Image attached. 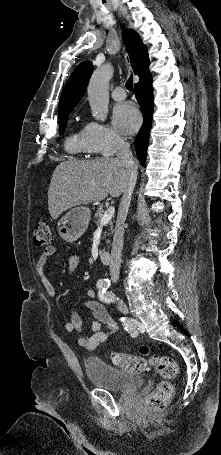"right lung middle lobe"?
Listing matches in <instances>:
<instances>
[{"mask_svg": "<svg viewBox=\"0 0 221 455\" xmlns=\"http://www.w3.org/2000/svg\"><path fill=\"white\" fill-rule=\"evenodd\" d=\"M71 110H62V111H58L59 112V129H60V134L63 132L66 124H67V120H68V115H69V112Z\"/></svg>", "mask_w": 221, "mask_h": 455, "instance_id": "dd1d6c3e", "label": "right lung middle lobe"}]
</instances>
